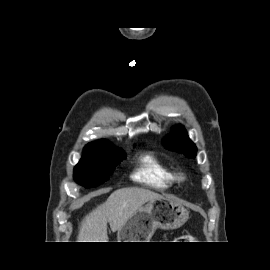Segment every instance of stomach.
<instances>
[{
  "mask_svg": "<svg viewBox=\"0 0 270 270\" xmlns=\"http://www.w3.org/2000/svg\"><path fill=\"white\" fill-rule=\"evenodd\" d=\"M189 211L178 201L162 197L149 201L118 229V242H149L157 228L171 230L181 227Z\"/></svg>",
  "mask_w": 270,
  "mask_h": 270,
  "instance_id": "0dacf381",
  "label": "stomach"
}]
</instances>
